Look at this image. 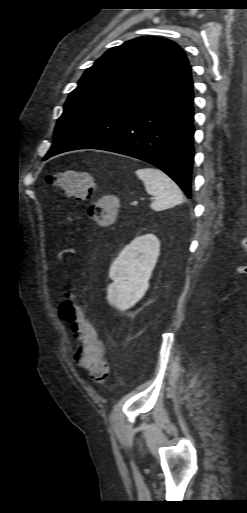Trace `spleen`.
I'll use <instances>...</instances> for the list:
<instances>
[{
  "label": "spleen",
  "instance_id": "3e777b00",
  "mask_svg": "<svg viewBox=\"0 0 247 513\" xmlns=\"http://www.w3.org/2000/svg\"><path fill=\"white\" fill-rule=\"evenodd\" d=\"M135 174L143 181L147 193L154 196L152 210L162 211L184 202L180 188L161 170L152 167L139 168Z\"/></svg>",
  "mask_w": 247,
  "mask_h": 513
}]
</instances>
